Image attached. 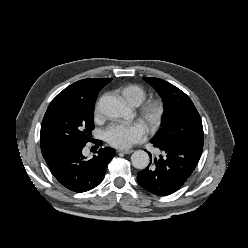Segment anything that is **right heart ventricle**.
<instances>
[{
  "label": "right heart ventricle",
  "instance_id": "obj_1",
  "mask_svg": "<svg viewBox=\"0 0 248 248\" xmlns=\"http://www.w3.org/2000/svg\"><path fill=\"white\" fill-rule=\"evenodd\" d=\"M123 98L134 106L140 105L147 97L146 90L137 84H129L119 90Z\"/></svg>",
  "mask_w": 248,
  "mask_h": 248
}]
</instances>
